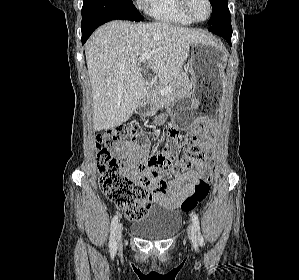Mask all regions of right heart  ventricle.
Wrapping results in <instances>:
<instances>
[{
  "label": "right heart ventricle",
  "instance_id": "e07e8e85",
  "mask_svg": "<svg viewBox=\"0 0 299 280\" xmlns=\"http://www.w3.org/2000/svg\"><path fill=\"white\" fill-rule=\"evenodd\" d=\"M146 11L151 17L161 22L176 25L193 23L182 11L180 0H148Z\"/></svg>",
  "mask_w": 299,
  "mask_h": 280
}]
</instances>
